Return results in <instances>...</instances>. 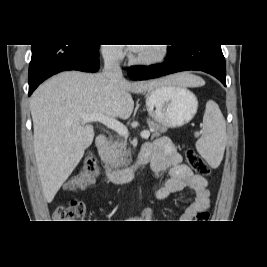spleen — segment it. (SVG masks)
I'll return each instance as SVG.
<instances>
[{"label": "spleen", "instance_id": "3e777b00", "mask_svg": "<svg viewBox=\"0 0 267 267\" xmlns=\"http://www.w3.org/2000/svg\"><path fill=\"white\" fill-rule=\"evenodd\" d=\"M226 144V123L218 106L208 107L203 117V131L196 143L199 154L212 166L220 165Z\"/></svg>", "mask_w": 267, "mask_h": 267}]
</instances>
